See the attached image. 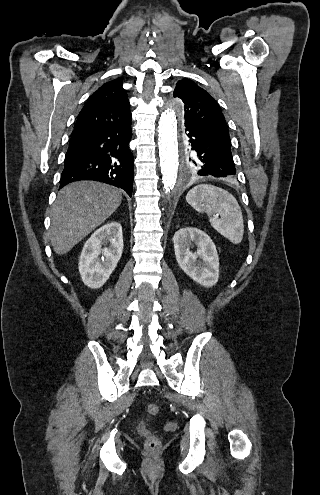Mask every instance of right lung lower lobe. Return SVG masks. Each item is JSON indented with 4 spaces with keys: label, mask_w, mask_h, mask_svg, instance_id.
Here are the masks:
<instances>
[{
    "label": "right lung lower lobe",
    "mask_w": 320,
    "mask_h": 495,
    "mask_svg": "<svg viewBox=\"0 0 320 495\" xmlns=\"http://www.w3.org/2000/svg\"><path fill=\"white\" fill-rule=\"evenodd\" d=\"M131 138V122L72 136L60 188L73 181L96 180L122 188L131 197L134 178Z\"/></svg>",
    "instance_id": "right-lung-lower-lobe-1"
}]
</instances>
